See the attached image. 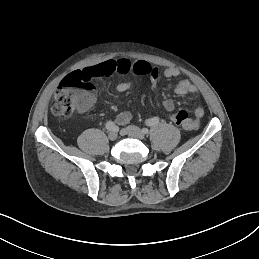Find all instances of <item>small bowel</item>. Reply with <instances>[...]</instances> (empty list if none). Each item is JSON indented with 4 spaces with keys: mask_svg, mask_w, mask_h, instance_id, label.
Returning <instances> with one entry per match:
<instances>
[{
    "mask_svg": "<svg viewBox=\"0 0 259 259\" xmlns=\"http://www.w3.org/2000/svg\"><path fill=\"white\" fill-rule=\"evenodd\" d=\"M135 72L137 74L146 75L149 77L152 87H156L157 80L159 78V69L156 66L151 65L145 60H131L127 58L112 59L103 61L101 63L84 68L79 73L86 81H91L94 78L106 76L112 73H128ZM163 75L166 78H173L179 75V71L176 68H166L163 71ZM131 83L121 82L117 85V91L126 92L131 89ZM175 92L178 95H194L197 92V88L188 80H181L175 87ZM162 107L167 114L172 113L174 110V102L170 99H166L162 102ZM204 109L197 107L194 110V117L189 118L183 128L186 130H196L200 125V120L204 116ZM131 113L128 111L120 113L116 122L119 125H126L131 120Z\"/></svg>",
    "mask_w": 259,
    "mask_h": 259,
    "instance_id": "c3829d8e",
    "label": "small bowel"
}]
</instances>
